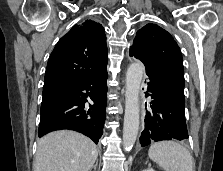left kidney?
I'll return each mask as SVG.
<instances>
[{"mask_svg":"<svg viewBox=\"0 0 223 171\" xmlns=\"http://www.w3.org/2000/svg\"><path fill=\"white\" fill-rule=\"evenodd\" d=\"M143 171H155V170H153L152 168H148V169H145Z\"/></svg>","mask_w":223,"mask_h":171,"instance_id":"left-kidney-1","label":"left kidney"}]
</instances>
